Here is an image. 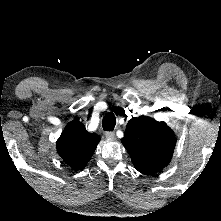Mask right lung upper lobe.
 Returning <instances> with one entry per match:
<instances>
[{"label":"right lung upper lobe","instance_id":"1","mask_svg":"<svg viewBox=\"0 0 221 221\" xmlns=\"http://www.w3.org/2000/svg\"><path fill=\"white\" fill-rule=\"evenodd\" d=\"M100 137L96 133H90L80 122L69 123L56 147L60 157L74 169L83 168L92 157Z\"/></svg>","mask_w":221,"mask_h":221}]
</instances>
